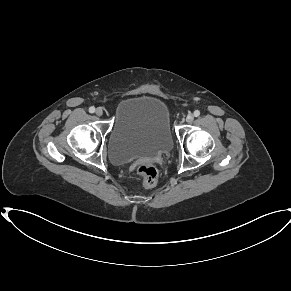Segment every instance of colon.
I'll use <instances>...</instances> for the list:
<instances>
[{
	"label": "colon",
	"mask_w": 291,
	"mask_h": 291,
	"mask_svg": "<svg viewBox=\"0 0 291 291\" xmlns=\"http://www.w3.org/2000/svg\"><path fill=\"white\" fill-rule=\"evenodd\" d=\"M139 176L143 179L144 184L147 187H153L156 185L159 178V171L157 168L151 165H139L136 169Z\"/></svg>",
	"instance_id": "obj_1"
}]
</instances>
